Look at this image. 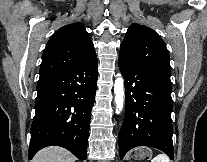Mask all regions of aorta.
<instances>
[{
	"mask_svg": "<svg viewBox=\"0 0 207 162\" xmlns=\"http://www.w3.org/2000/svg\"><path fill=\"white\" fill-rule=\"evenodd\" d=\"M114 93H115L116 113L120 114L124 104V80L120 74L117 75V79L115 80Z\"/></svg>",
	"mask_w": 207,
	"mask_h": 162,
	"instance_id": "762f6f07",
	"label": "aorta"
}]
</instances>
